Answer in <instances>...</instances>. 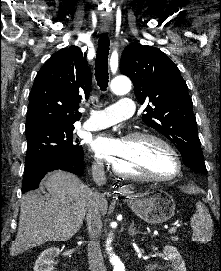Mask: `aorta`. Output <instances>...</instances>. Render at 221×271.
<instances>
[{
	"label": "aorta",
	"mask_w": 221,
	"mask_h": 271,
	"mask_svg": "<svg viewBox=\"0 0 221 271\" xmlns=\"http://www.w3.org/2000/svg\"><path fill=\"white\" fill-rule=\"evenodd\" d=\"M111 91L116 95H124L131 89V81L124 76H118L111 81ZM112 238L109 237L106 241V250L109 254L110 263L113 266V271H125V266L120 258L112 252L111 247Z\"/></svg>",
	"instance_id": "aorta-1"
}]
</instances>
